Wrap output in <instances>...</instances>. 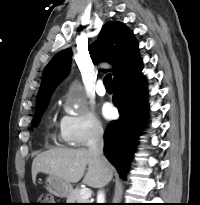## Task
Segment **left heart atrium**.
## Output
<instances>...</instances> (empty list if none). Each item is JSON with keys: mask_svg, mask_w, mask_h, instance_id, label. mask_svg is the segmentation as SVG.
Here are the masks:
<instances>
[{"mask_svg": "<svg viewBox=\"0 0 200 205\" xmlns=\"http://www.w3.org/2000/svg\"><path fill=\"white\" fill-rule=\"evenodd\" d=\"M115 114L114 108L112 107V105L110 104H104L102 107V115L106 118V119H111L113 118Z\"/></svg>", "mask_w": 200, "mask_h": 205, "instance_id": "1", "label": "left heart atrium"}]
</instances>
